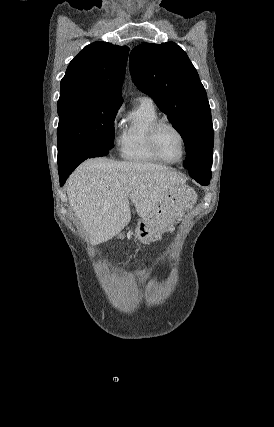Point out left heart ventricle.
<instances>
[{
    "label": "left heart ventricle",
    "instance_id": "b2bd125f",
    "mask_svg": "<svg viewBox=\"0 0 274 427\" xmlns=\"http://www.w3.org/2000/svg\"><path fill=\"white\" fill-rule=\"evenodd\" d=\"M157 144L161 154L170 161H177L182 155V142L179 135L171 128L159 130Z\"/></svg>",
    "mask_w": 274,
    "mask_h": 427
}]
</instances>
